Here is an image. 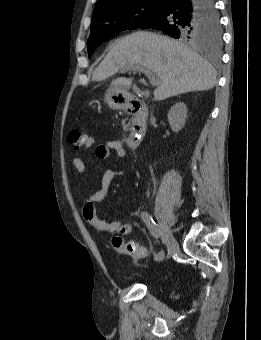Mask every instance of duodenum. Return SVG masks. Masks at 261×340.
<instances>
[{
    "label": "duodenum",
    "instance_id": "410a0bca",
    "mask_svg": "<svg viewBox=\"0 0 261 340\" xmlns=\"http://www.w3.org/2000/svg\"><path fill=\"white\" fill-rule=\"evenodd\" d=\"M126 111L133 116L127 144L131 148H137L146 133L148 120L147 106L141 99L134 98L128 102Z\"/></svg>",
    "mask_w": 261,
    "mask_h": 340
}]
</instances>
